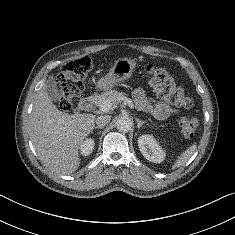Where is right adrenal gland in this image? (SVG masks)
<instances>
[{
    "mask_svg": "<svg viewBox=\"0 0 235 235\" xmlns=\"http://www.w3.org/2000/svg\"><path fill=\"white\" fill-rule=\"evenodd\" d=\"M104 126H96L95 129H103Z\"/></svg>",
    "mask_w": 235,
    "mask_h": 235,
    "instance_id": "right-adrenal-gland-1",
    "label": "right adrenal gland"
}]
</instances>
